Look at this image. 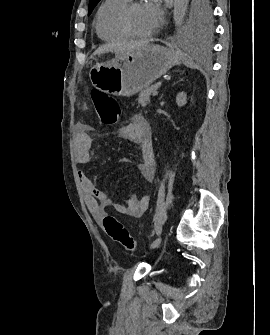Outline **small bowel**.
Masks as SVG:
<instances>
[{"mask_svg": "<svg viewBox=\"0 0 270 335\" xmlns=\"http://www.w3.org/2000/svg\"><path fill=\"white\" fill-rule=\"evenodd\" d=\"M74 135L77 147L76 160L81 165H87L92 161L90 149L93 140L90 135V127L85 124H77ZM120 136L140 147L141 159L135 163V169L139 177L151 181L154 178L155 161L151 148L149 123L142 118L130 121L121 127ZM78 178L86 195V205L92 216L97 220L103 217L104 208L111 205L118 213L133 218L142 216L148 209L149 199L146 196L139 198L132 195L122 201L114 202L83 171H78Z\"/></svg>", "mask_w": 270, "mask_h": 335, "instance_id": "1", "label": "small bowel"}]
</instances>
